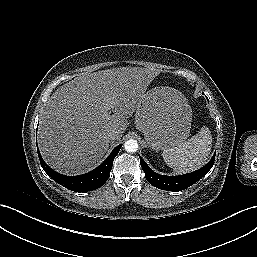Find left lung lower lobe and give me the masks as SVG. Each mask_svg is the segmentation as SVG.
<instances>
[{
	"label": "left lung lower lobe",
	"mask_w": 257,
	"mask_h": 257,
	"mask_svg": "<svg viewBox=\"0 0 257 257\" xmlns=\"http://www.w3.org/2000/svg\"><path fill=\"white\" fill-rule=\"evenodd\" d=\"M214 159L215 155L204 167L195 172L180 176H164L157 174L148 167L142 158H140V163L143 171L145 172V177L151 185L162 190L181 191L193 185L195 182L205 176L212 168Z\"/></svg>",
	"instance_id": "left-lung-lower-lobe-1"
}]
</instances>
